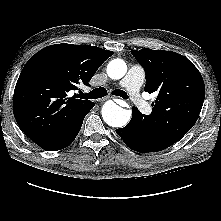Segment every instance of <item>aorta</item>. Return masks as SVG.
Returning a JSON list of instances; mask_svg holds the SVG:
<instances>
[{"label":"aorta","mask_w":221,"mask_h":221,"mask_svg":"<svg viewBox=\"0 0 221 221\" xmlns=\"http://www.w3.org/2000/svg\"><path fill=\"white\" fill-rule=\"evenodd\" d=\"M126 72L127 66L122 59H113L107 65V74L111 79H121ZM102 117L109 126L120 128L129 122L131 111L123 109L109 100L102 107Z\"/></svg>","instance_id":"1"}]
</instances>
